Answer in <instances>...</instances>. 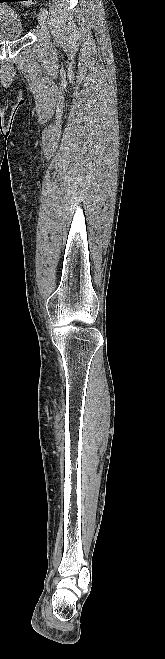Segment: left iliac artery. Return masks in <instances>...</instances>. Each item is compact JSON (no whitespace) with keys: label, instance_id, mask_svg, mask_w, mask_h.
<instances>
[{"label":"left iliac artery","instance_id":"44dca946","mask_svg":"<svg viewBox=\"0 0 165 659\" xmlns=\"http://www.w3.org/2000/svg\"><path fill=\"white\" fill-rule=\"evenodd\" d=\"M41 12H42L43 14H45V15H48V11H47V9L44 8V7L41 8Z\"/></svg>","mask_w":165,"mask_h":659}]
</instances>
